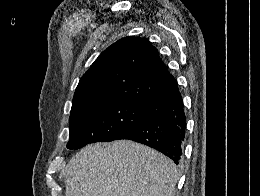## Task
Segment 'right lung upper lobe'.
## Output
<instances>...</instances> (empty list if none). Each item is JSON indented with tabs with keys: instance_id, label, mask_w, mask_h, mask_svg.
<instances>
[{
	"instance_id": "right-lung-upper-lobe-1",
	"label": "right lung upper lobe",
	"mask_w": 260,
	"mask_h": 196,
	"mask_svg": "<svg viewBox=\"0 0 260 196\" xmlns=\"http://www.w3.org/2000/svg\"><path fill=\"white\" fill-rule=\"evenodd\" d=\"M176 83L147 39L125 37L109 46L82 76L72 106L112 98L141 104Z\"/></svg>"
}]
</instances>
